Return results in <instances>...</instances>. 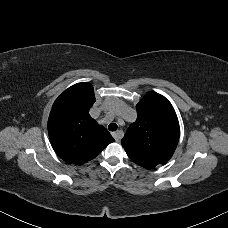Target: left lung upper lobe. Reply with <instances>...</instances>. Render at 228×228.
<instances>
[{
	"instance_id": "5c2ea615",
	"label": "left lung upper lobe",
	"mask_w": 228,
	"mask_h": 228,
	"mask_svg": "<svg viewBox=\"0 0 228 228\" xmlns=\"http://www.w3.org/2000/svg\"><path fill=\"white\" fill-rule=\"evenodd\" d=\"M137 120L121 140L136 164L152 169L166 163L179 140V124L171 103L162 95L148 92L137 104Z\"/></svg>"
}]
</instances>
